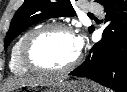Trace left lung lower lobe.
Segmentation results:
<instances>
[{
	"instance_id": "left-lung-lower-lobe-1",
	"label": "left lung lower lobe",
	"mask_w": 127,
	"mask_h": 92,
	"mask_svg": "<svg viewBox=\"0 0 127 92\" xmlns=\"http://www.w3.org/2000/svg\"><path fill=\"white\" fill-rule=\"evenodd\" d=\"M104 8L106 20L113 19L115 24L104 30L86 60L69 75L89 78L116 92H127V0H113Z\"/></svg>"
}]
</instances>
